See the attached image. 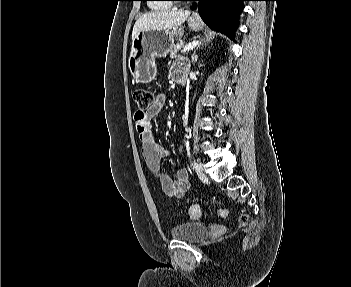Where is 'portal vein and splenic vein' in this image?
I'll return each instance as SVG.
<instances>
[{
	"instance_id": "portal-vein-and-splenic-vein-1",
	"label": "portal vein and splenic vein",
	"mask_w": 351,
	"mask_h": 287,
	"mask_svg": "<svg viewBox=\"0 0 351 287\" xmlns=\"http://www.w3.org/2000/svg\"><path fill=\"white\" fill-rule=\"evenodd\" d=\"M197 45H198V41H193L192 43H189L188 45H186L181 52L189 51L195 48Z\"/></svg>"
}]
</instances>
